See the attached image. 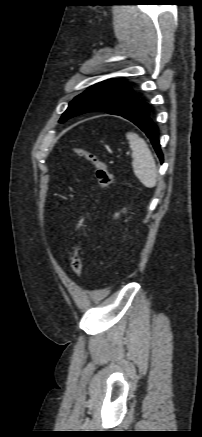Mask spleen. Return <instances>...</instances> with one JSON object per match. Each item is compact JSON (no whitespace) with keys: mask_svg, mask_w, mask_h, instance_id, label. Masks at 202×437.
Instances as JSON below:
<instances>
[{"mask_svg":"<svg viewBox=\"0 0 202 437\" xmlns=\"http://www.w3.org/2000/svg\"><path fill=\"white\" fill-rule=\"evenodd\" d=\"M126 138L132 150V167L134 174L144 186L148 188L155 187L158 172L150 149L147 144L133 132H128Z\"/></svg>","mask_w":202,"mask_h":437,"instance_id":"obj_1","label":"spleen"}]
</instances>
